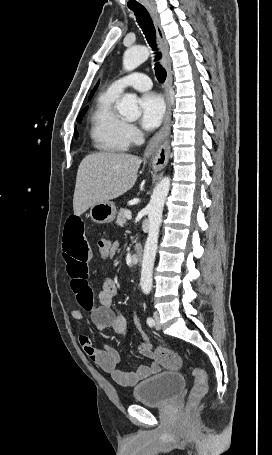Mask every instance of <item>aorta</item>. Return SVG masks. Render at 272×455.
I'll return each instance as SVG.
<instances>
[{
	"label": "aorta",
	"instance_id": "aorta-1",
	"mask_svg": "<svg viewBox=\"0 0 272 455\" xmlns=\"http://www.w3.org/2000/svg\"><path fill=\"white\" fill-rule=\"evenodd\" d=\"M149 49L145 46L129 47L123 55V68L132 71L146 61L149 57ZM118 112L129 120H136L141 116L138 108L137 97L133 94H125L117 105ZM170 189V178L164 177L155 187L147 206L149 230L146 240L140 285L144 293L152 289V272L157 251L162 212Z\"/></svg>",
	"mask_w": 272,
	"mask_h": 455
}]
</instances>
